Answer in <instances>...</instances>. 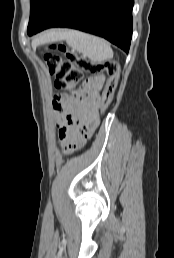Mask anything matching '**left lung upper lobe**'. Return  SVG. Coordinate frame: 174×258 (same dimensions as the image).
<instances>
[{
    "label": "left lung upper lobe",
    "instance_id": "obj_1",
    "mask_svg": "<svg viewBox=\"0 0 174 258\" xmlns=\"http://www.w3.org/2000/svg\"><path fill=\"white\" fill-rule=\"evenodd\" d=\"M58 0H30V20L27 33L34 32Z\"/></svg>",
    "mask_w": 174,
    "mask_h": 258
}]
</instances>
